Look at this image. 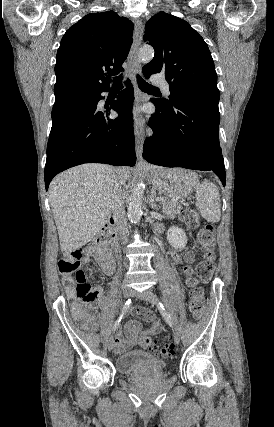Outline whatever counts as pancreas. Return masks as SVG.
<instances>
[{"mask_svg": "<svg viewBox=\"0 0 274 427\" xmlns=\"http://www.w3.org/2000/svg\"><path fill=\"white\" fill-rule=\"evenodd\" d=\"M182 210L181 204L175 202V200H164L162 202V212L166 214L167 217H176V214H180Z\"/></svg>", "mask_w": 274, "mask_h": 427, "instance_id": "pancreas-1", "label": "pancreas"}]
</instances>
